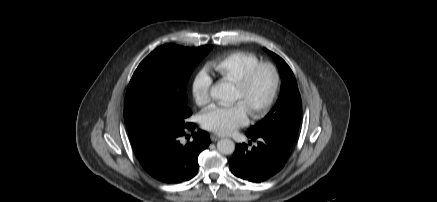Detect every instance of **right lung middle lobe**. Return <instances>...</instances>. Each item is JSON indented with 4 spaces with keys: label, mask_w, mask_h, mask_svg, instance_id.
Returning <instances> with one entry per match:
<instances>
[{
    "label": "right lung middle lobe",
    "mask_w": 437,
    "mask_h": 202,
    "mask_svg": "<svg viewBox=\"0 0 437 202\" xmlns=\"http://www.w3.org/2000/svg\"><path fill=\"white\" fill-rule=\"evenodd\" d=\"M213 47L186 48L166 44L137 67L127 88L124 120L134 149L170 128H180L191 115L187 82L196 65Z\"/></svg>",
    "instance_id": "right-lung-middle-lobe-1"
}]
</instances>
